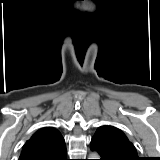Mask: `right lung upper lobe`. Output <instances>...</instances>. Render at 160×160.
I'll return each mask as SVG.
<instances>
[{"label":"right lung upper lobe","mask_w":160,"mask_h":160,"mask_svg":"<svg viewBox=\"0 0 160 160\" xmlns=\"http://www.w3.org/2000/svg\"><path fill=\"white\" fill-rule=\"evenodd\" d=\"M66 150L63 136L52 127L35 132L24 144L19 160H53Z\"/></svg>","instance_id":"cb5924a9"}]
</instances>
